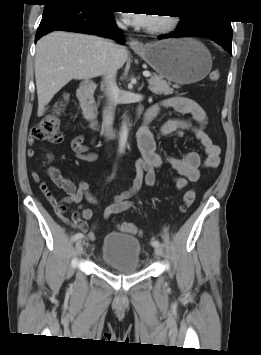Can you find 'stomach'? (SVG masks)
Segmentation results:
<instances>
[{
  "mask_svg": "<svg viewBox=\"0 0 261 355\" xmlns=\"http://www.w3.org/2000/svg\"><path fill=\"white\" fill-rule=\"evenodd\" d=\"M136 53L160 76L179 84L198 82L212 68L209 50L193 38L148 43Z\"/></svg>",
  "mask_w": 261,
  "mask_h": 355,
  "instance_id": "stomach-1",
  "label": "stomach"
}]
</instances>
